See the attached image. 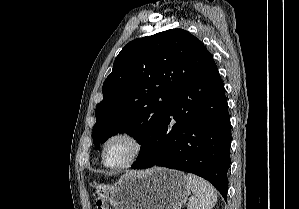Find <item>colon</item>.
I'll use <instances>...</instances> for the list:
<instances>
[{
  "label": "colon",
  "instance_id": "colon-1",
  "mask_svg": "<svg viewBox=\"0 0 299 209\" xmlns=\"http://www.w3.org/2000/svg\"><path fill=\"white\" fill-rule=\"evenodd\" d=\"M96 209H106L104 206H103V204H102V201H101V199H97V201H96Z\"/></svg>",
  "mask_w": 299,
  "mask_h": 209
}]
</instances>
